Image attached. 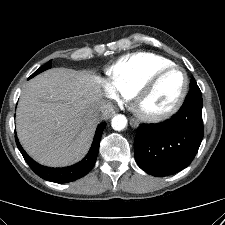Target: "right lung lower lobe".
Masks as SVG:
<instances>
[{"instance_id":"1","label":"right lung lower lobe","mask_w":225,"mask_h":225,"mask_svg":"<svg viewBox=\"0 0 225 225\" xmlns=\"http://www.w3.org/2000/svg\"><path fill=\"white\" fill-rule=\"evenodd\" d=\"M105 126L106 123L103 122L99 124V126L97 127L91 149L89 153L86 155V157L79 163L64 168H49L38 164L32 158H30L28 154L23 150L17 139V136H15V140L22 156L24 157L25 161L28 163V165L30 166V168L33 170L34 173H36L38 176L47 181L55 183H68L83 177L93 167L98 155L101 135L103 133Z\"/></svg>"}]
</instances>
